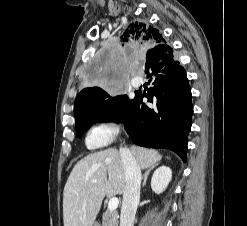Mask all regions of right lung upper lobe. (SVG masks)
<instances>
[{"label":"right lung upper lobe","instance_id":"obj_1","mask_svg":"<svg viewBox=\"0 0 247 226\" xmlns=\"http://www.w3.org/2000/svg\"><path fill=\"white\" fill-rule=\"evenodd\" d=\"M120 42L122 45L127 44H135L138 43L145 48L155 47L161 44L166 43L162 34L159 30L149 26L145 22H132L130 23L124 33L120 36ZM101 88L99 87H88L84 88L77 96V99L74 104V114L75 117L79 115V108L81 104L94 97L96 94L101 92Z\"/></svg>","mask_w":247,"mask_h":226}]
</instances>
